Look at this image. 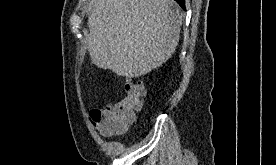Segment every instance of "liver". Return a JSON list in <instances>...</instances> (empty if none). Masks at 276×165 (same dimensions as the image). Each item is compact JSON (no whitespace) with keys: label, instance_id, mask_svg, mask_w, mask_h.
<instances>
[{"label":"liver","instance_id":"liver-1","mask_svg":"<svg viewBox=\"0 0 276 165\" xmlns=\"http://www.w3.org/2000/svg\"><path fill=\"white\" fill-rule=\"evenodd\" d=\"M182 21L173 0H97L85 33L91 61L119 76L145 75L175 52Z\"/></svg>","mask_w":276,"mask_h":165}]
</instances>
